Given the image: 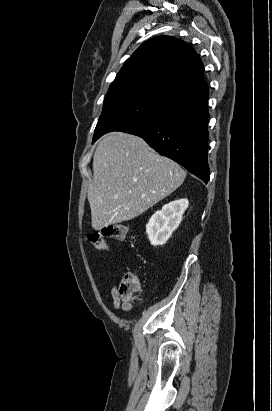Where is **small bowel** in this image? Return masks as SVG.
<instances>
[{
    "instance_id": "c3829d8e",
    "label": "small bowel",
    "mask_w": 272,
    "mask_h": 411,
    "mask_svg": "<svg viewBox=\"0 0 272 411\" xmlns=\"http://www.w3.org/2000/svg\"><path fill=\"white\" fill-rule=\"evenodd\" d=\"M110 293H111V296H112V299H113V309L115 311H117L122 306V302L118 297L116 285L111 286Z\"/></svg>"
}]
</instances>
